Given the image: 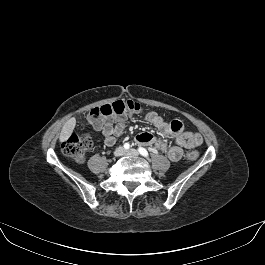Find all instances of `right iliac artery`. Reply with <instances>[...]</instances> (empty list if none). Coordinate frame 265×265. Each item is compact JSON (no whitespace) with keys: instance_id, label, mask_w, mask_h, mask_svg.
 I'll return each instance as SVG.
<instances>
[{"instance_id":"obj_1","label":"right iliac artery","mask_w":265,"mask_h":265,"mask_svg":"<svg viewBox=\"0 0 265 265\" xmlns=\"http://www.w3.org/2000/svg\"><path fill=\"white\" fill-rule=\"evenodd\" d=\"M124 148H125V149H129V148H130V144H129V143H125V144H124Z\"/></svg>"}]
</instances>
